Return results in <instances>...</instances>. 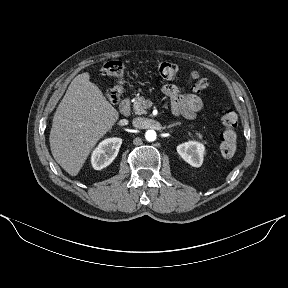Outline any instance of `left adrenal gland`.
Segmentation results:
<instances>
[{"mask_svg":"<svg viewBox=\"0 0 288 288\" xmlns=\"http://www.w3.org/2000/svg\"><path fill=\"white\" fill-rule=\"evenodd\" d=\"M177 125H181V123L180 122H176V123L170 124V125L167 126V128H172V127L177 126Z\"/></svg>","mask_w":288,"mask_h":288,"instance_id":"left-adrenal-gland-1","label":"left adrenal gland"}]
</instances>
